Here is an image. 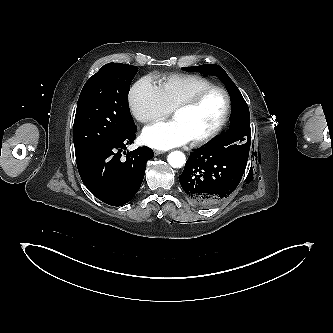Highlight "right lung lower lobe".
<instances>
[{
  "mask_svg": "<svg viewBox=\"0 0 333 333\" xmlns=\"http://www.w3.org/2000/svg\"><path fill=\"white\" fill-rule=\"evenodd\" d=\"M136 131L135 126L121 138L76 158L83 183L106 204L121 206L129 202L141 186L147 161L153 157V151L148 147L124 151L135 139Z\"/></svg>",
  "mask_w": 333,
  "mask_h": 333,
  "instance_id": "98d812e1",
  "label": "right lung lower lobe"
}]
</instances>
